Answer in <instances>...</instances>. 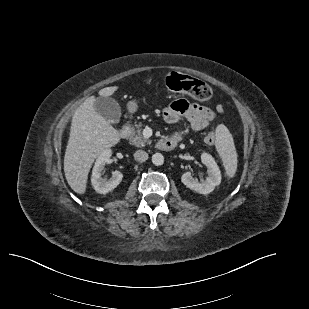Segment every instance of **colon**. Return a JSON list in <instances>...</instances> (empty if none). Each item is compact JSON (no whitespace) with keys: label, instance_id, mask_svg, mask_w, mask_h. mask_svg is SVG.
Segmentation results:
<instances>
[{"label":"colon","instance_id":"1","mask_svg":"<svg viewBox=\"0 0 309 309\" xmlns=\"http://www.w3.org/2000/svg\"><path fill=\"white\" fill-rule=\"evenodd\" d=\"M167 88L175 93L191 96L193 99L206 102L212 97V91L204 82L181 73H172L166 78ZM205 143L212 145L215 141L213 134H208Z\"/></svg>","mask_w":309,"mask_h":309}]
</instances>
